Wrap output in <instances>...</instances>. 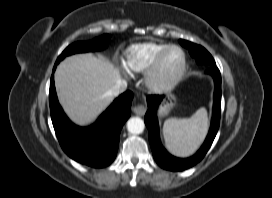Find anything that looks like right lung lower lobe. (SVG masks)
Instances as JSON below:
<instances>
[{"label":"right lung lower lobe","instance_id":"obj_1","mask_svg":"<svg viewBox=\"0 0 272 198\" xmlns=\"http://www.w3.org/2000/svg\"><path fill=\"white\" fill-rule=\"evenodd\" d=\"M57 64L54 65L53 73ZM133 93L126 91L87 128L74 125L59 105L54 76H51L49 103L51 119L58 141L64 152L75 161L95 167L108 166L115 159L119 135L125 121L130 117Z\"/></svg>","mask_w":272,"mask_h":198}]
</instances>
